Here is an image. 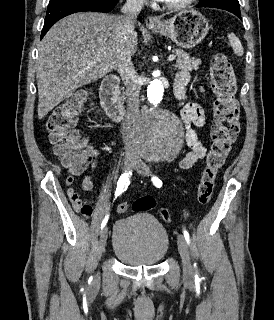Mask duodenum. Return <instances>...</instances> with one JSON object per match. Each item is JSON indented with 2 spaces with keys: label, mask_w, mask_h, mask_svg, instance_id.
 Masks as SVG:
<instances>
[{
  "label": "duodenum",
  "mask_w": 274,
  "mask_h": 320,
  "mask_svg": "<svg viewBox=\"0 0 274 320\" xmlns=\"http://www.w3.org/2000/svg\"><path fill=\"white\" fill-rule=\"evenodd\" d=\"M119 85V77L113 75L107 77L100 88L101 104L107 114L116 121L122 120L125 114L124 107L118 96Z\"/></svg>",
  "instance_id": "410a0bca"
}]
</instances>
